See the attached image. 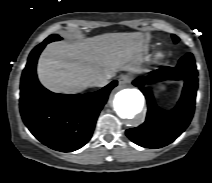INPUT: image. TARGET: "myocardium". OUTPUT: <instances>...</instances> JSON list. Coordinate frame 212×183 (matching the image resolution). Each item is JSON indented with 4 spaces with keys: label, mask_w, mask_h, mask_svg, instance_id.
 <instances>
[{
    "label": "myocardium",
    "mask_w": 212,
    "mask_h": 183,
    "mask_svg": "<svg viewBox=\"0 0 212 183\" xmlns=\"http://www.w3.org/2000/svg\"><path fill=\"white\" fill-rule=\"evenodd\" d=\"M156 56H157L158 58H162V57H163V53H162V52H157Z\"/></svg>",
    "instance_id": "obj_1"
}]
</instances>
